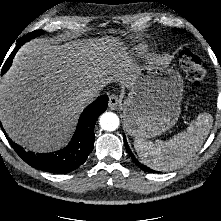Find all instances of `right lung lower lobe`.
<instances>
[{"label": "right lung lower lobe", "mask_w": 221, "mask_h": 221, "mask_svg": "<svg viewBox=\"0 0 221 221\" xmlns=\"http://www.w3.org/2000/svg\"><path fill=\"white\" fill-rule=\"evenodd\" d=\"M29 35L14 49L9 62L2 71L3 73L9 69L15 52L26 41L31 39ZM107 106V96H102L87 106L79 118L77 129L71 142L66 148L54 153L34 154L33 152H26L22 147L15 144L7 136L6 137L17 154L30 166L46 172L65 174L82 165L86 161L88 155L92 152L96 119L106 110Z\"/></svg>", "instance_id": "1"}]
</instances>
